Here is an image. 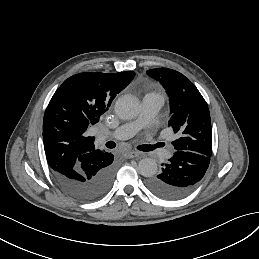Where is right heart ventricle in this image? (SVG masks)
<instances>
[{
    "label": "right heart ventricle",
    "mask_w": 259,
    "mask_h": 259,
    "mask_svg": "<svg viewBox=\"0 0 259 259\" xmlns=\"http://www.w3.org/2000/svg\"><path fill=\"white\" fill-rule=\"evenodd\" d=\"M142 93L144 97L152 96V95H164L163 90L157 85L144 88L142 90Z\"/></svg>",
    "instance_id": "1"
}]
</instances>
